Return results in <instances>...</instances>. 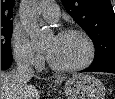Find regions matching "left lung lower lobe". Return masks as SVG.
Instances as JSON below:
<instances>
[{"instance_id":"0a47b994","label":"left lung lower lobe","mask_w":115,"mask_h":99,"mask_svg":"<svg viewBox=\"0 0 115 99\" xmlns=\"http://www.w3.org/2000/svg\"><path fill=\"white\" fill-rule=\"evenodd\" d=\"M81 72H109L115 73V62H109L99 66H90Z\"/></svg>"}]
</instances>
